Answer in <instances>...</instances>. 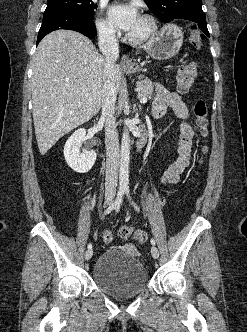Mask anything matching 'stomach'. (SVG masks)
<instances>
[{"label":"stomach","mask_w":247,"mask_h":332,"mask_svg":"<svg viewBox=\"0 0 247 332\" xmlns=\"http://www.w3.org/2000/svg\"><path fill=\"white\" fill-rule=\"evenodd\" d=\"M183 43V33L180 27L167 24L158 35L147 43V51L156 60H167L178 54ZM127 73L140 71L139 65L125 69Z\"/></svg>","instance_id":"1"}]
</instances>
